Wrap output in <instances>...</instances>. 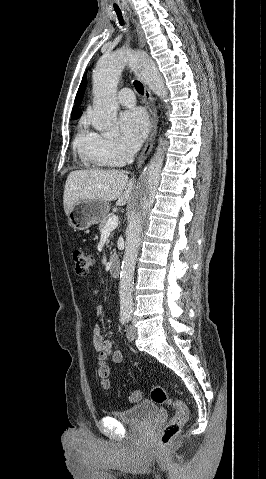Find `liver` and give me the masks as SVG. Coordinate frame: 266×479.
I'll return each instance as SVG.
<instances>
[{
	"label": "liver",
	"instance_id": "obj_1",
	"mask_svg": "<svg viewBox=\"0 0 266 479\" xmlns=\"http://www.w3.org/2000/svg\"><path fill=\"white\" fill-rule=\"evenodd\" d=\"M134 179L120 170H77L66 180L63 206L68 215L73 206L81 200H117L118 206L125 205L132 196Z\"/></svg>",
	"mask_w": 266,
	"mask_h": 479
}]
</instances>
